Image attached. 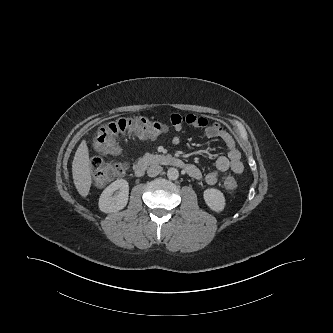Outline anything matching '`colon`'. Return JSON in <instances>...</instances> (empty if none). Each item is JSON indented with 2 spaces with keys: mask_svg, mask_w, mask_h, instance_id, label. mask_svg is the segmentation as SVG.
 Segmentation results:
<instances>
[{
  "mask_svg": "<svg viewBox=\"0 0 333 333\" xmlns=\"http://www.w3.org/2000/svg\"><path fill=\"white\" fill-rule=\"evenodd\" d=\"M168 126L164 123L137 116L122 118L99 128L94 139V145L103 155L113 156L120 153L117 143L119 137L135 136L139 138H156L167 132ZM95 181L104 184L121 175L125 170L123 163H109L99 159H93L90 163ZM224 187L227 191H233L237 187V181L232 175L224 178Z\"/></svg>",
  "mask_w": 333,
  "mask_h": 333,
  "instance_id": "5ec220e1",
  "label": "colon"
}]
</instances>
